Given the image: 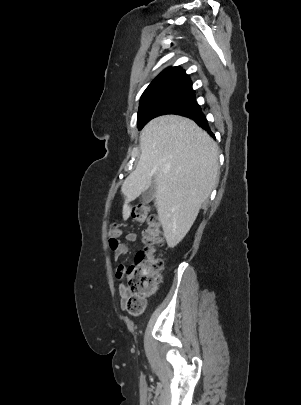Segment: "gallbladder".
<instances>
[{
    "label": "gallbladder",
    "mask_w": 301,
    "mask_h": 405,
    "mask_svg": "<svg viewBox=\"0 0 301 405\" xmlns=\"http://www.w3.org/2000/svg\"><path fill=\"white\" fill-rule=\"evenodd\" d=\"M156 194V183L152 182L150 187L142 193L141 200L143 204H148L155 198Z\"/></svg>",
    "instance_id": "1"
}]
</instances>
